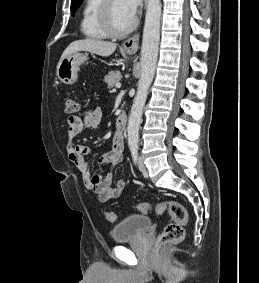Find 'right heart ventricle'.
I'll return each instance as SVG.
<instances>
[{
	"mask_svg": "<svg viewBox=\"0 0 259 283\" xmlns=\"http://www.w3.org/2000/svg\"><path fill=\"white\" fill-rule=\"evenodd\" d=\"M101 4L102 0H86L84 3L80 26L82 33L87 38L104 39L108 36L102 29L99 19Z\"/></svg>",
	"mask_w": 259,
	"mask_h": 283,
	"instance_id": "e07e8e85",
	"label": "right heart ventricle"
}]
</instances>
